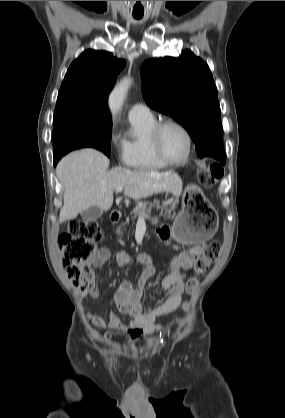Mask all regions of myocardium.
<instances>
[{
	"mask_svg": "<svg viewBox=\"0 0 285 418\" xmlns=\"http://www.w3.org/2000/svg\"><path fill=\"white\" fill-rule=\"evenodd\" d=\"M168 126H175L178 129H180L187 140V151L185 156L179 160V161H172L170 160L164 153L162 146H161V142H160V137H161V133L163 131L164 128L168 127ZM149 142L150 145L156 155V157L162 161L163 163H165L166 165L169 166H178V165H182L185 164L192 153L193 150V139L191 136V133L189 132V130L180 122L173 120V119H165L162 120L158 123L155 124V126L153 127L150 136H149Z\"/></svg>",
	"mask_w": 285,
	"mask_h": 418,
	"instance_id": "obj_1",
	"label": "myocardium"
}]
</instances>
